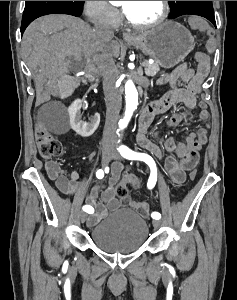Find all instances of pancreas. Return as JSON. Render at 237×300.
<instances>
[{"instance_id":"obj_1","label":"pancreas","mask_w":237,"mask_h":300,"mask_svg":"<svg viewBox=\"0 0 237 300\" xmlns=\"http://www.w3.org/2000/svg\"><path fill=\"white\" fill-rule=\"evenodd\" d=\"M147 62V67L145 68V73L147 75V77H155V75H157L158 71H160V67L158 65V63H148ZM143 65V64H142Z\"/></svg>"}]
</instances>
